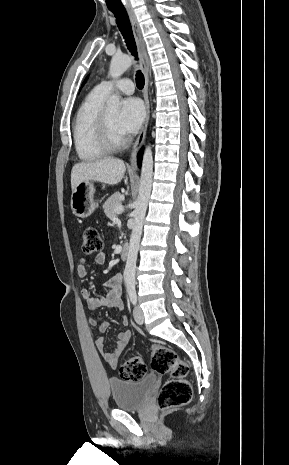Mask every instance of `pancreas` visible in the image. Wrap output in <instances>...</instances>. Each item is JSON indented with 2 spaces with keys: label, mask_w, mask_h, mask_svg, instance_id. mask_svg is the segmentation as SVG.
I'll list each match as a JSON object with an SVG mask.
<instances>
[{
  "label": "pancreas",
  "mask_w": 289,
  "mask_h": 465,
  "mask_svg": "<svg viewBox=\"0 0 289 465\" xmlns=\"http://www.w3.org/2000/svg\"><path fill=\"white\" fill-rule=\"evenodd\" d=\"M123 195L120 193L113 194L103 205L104 212L109 219L116 216L115 210L121 206Z\"/></svg>",
  "instance_id": "1"
}]
</instances>
